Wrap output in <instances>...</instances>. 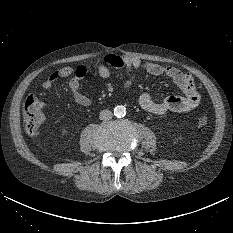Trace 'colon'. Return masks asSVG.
<instances>
[{
    "mask_svg": "<svg viewBox=\"0 0 233 233\" xmlns=\"http://www.w3.org/2000/svg\"><path fill=\"white\" fill-rule=\"evenodd\" d=\"M43 102L34 95L28 96L23 104L24 127L28 134L36 135L44 122ZM209 120L206 116H200L197 120L199 127H205Z\"/></svg>",
    "mask_w": 233,
    "mask_h": 233,
    "instance_id": "obj_1",
    "label": "colon"
}]
</instances>
